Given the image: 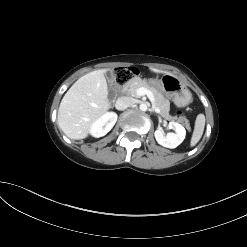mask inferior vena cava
I'll return each instance as SVG.
<instances>
[{"instance_id": "1", "label": "inferior vena cava", "mask_w": 247, "mask_h": 247, "mask_svg": "<svg viewBox=\"0 0 247 247\" xmlns=\"http://www.w3.org/2000/svg\"><path fill=\"white\" fill-rule=\"evenodd\" d=\"M134 104V99L131 97H119L116 100L115 107L117 110H124Z\"/></svg>"}]
</instances>
